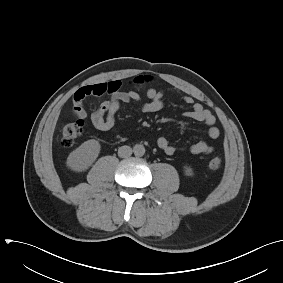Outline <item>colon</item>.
<instances>
[{"label":"colon","instance_id":"obj_1","mask_svg":"<svg viewBox=\"0 0 283 283\" xmlns=\"http://www.w3.org/2000/svg\"><path fill=\"white\" fill-rule=\"evenodd\" d=\"M149 82L148 78L139 77L135 80V83L138 85H143L144 83ZM83 130V122L77 120L74 122H67L61 126L60 136L61 142L64 146H72L75 141L80 137ZM222 161L218 157L211 158L208 161V167L211 170H217L221 167Z\"/></svg>","mask_w":283,"mask_h":283}]
</instances>
